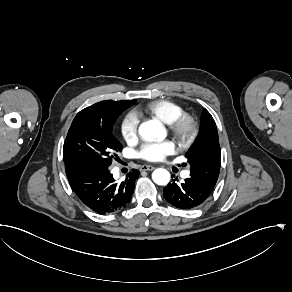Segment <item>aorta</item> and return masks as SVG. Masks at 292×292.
Here are the masks:
<instances>
[{
	"mask_svg": "<svg viewBox=\"0 0 292 292\" xmlns=\"http://www.w3.org/2000/svg\"><path fill=\"white\" fill-rule=\"evenodd\" d=\"M139 134L146 140L154 138L163 140L166 137V130L160 121L150 120L140 125ZM152 179L158 185H167L170 181V173L166 169L158 168L153 171Z\"/></svg>",
	"mask_w": 292,
	"mask_h": 292,
	"instance_id": "aorta-1",
	"label": "aorta"
}]
</instances>
